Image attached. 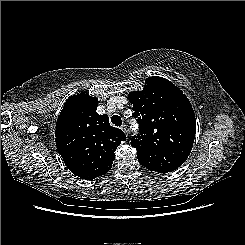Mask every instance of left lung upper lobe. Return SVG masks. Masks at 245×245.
<instances>
[{"label": "left lung upper lobe", "instance_id": "5c2ea615", "mask_svg": "<svg viewBox=\"0 0 245 245\" xmlns=\"http://www.w3.org/2000/svg\"><path fill=\"white\" fill-rule=\"evenodd\" d=\"M140 134L131 146L141 165L148 170L168 173L188 158L196 133L193 108L183 92L169 80L152 76L142 91L129 94Z\"/></svg>", "mask_w": 245, "mask_h": 245}]
</instances>
